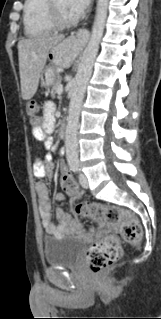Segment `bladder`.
<instances>
[{
	"instance_id": "1",
	"label": "bladder",
	"mask_w": 161,
	"mask_h": 319,
	"mask_svg": "<svg viewBox=\"0 0 161 319\" xmlns=\"http://www.w3.org/2000/svg\"><path fill=\"white\" fill-rule=\"evenodd\" d=\"M85 244L74 236L47 235L43 240L44 263L48 266L74 265L82 256Z\"/></svg>"
}]
</instances>
